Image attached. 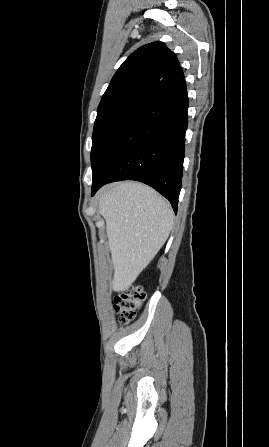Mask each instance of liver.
Masks as SVG:
<instances>
[{"instance_id":"obj_1","label":"liver","mask_w":269,"mask_h":447,"mask_svg":"<svg viewBox=\"0 0 269 447\" xmlns=\"http://www.w3.org/2000/svg\"><path fill=\"white\" fill-rule=\"evenodd\" d=\"M114 275L111 289H127L165 243L174 222L172 208L152 188L121 182L99 194Z\"/></svg>"}]
</instances>
